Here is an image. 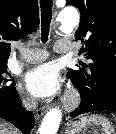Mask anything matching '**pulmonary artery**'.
I'll list each match as a JSON object with an SVG mask.
<instances>
[{
	"mask_svg": "<svg viewBox=\"0 0 116 134\" xmlns=\"http://www.w3.org/2000/svg\"><path fill=\"white\" fill-rule=\"evenodd\" d=\"M56 53H69L75 50L74 44L68 40H59L54 46ZM49 56V53L44 49H34L29 52H23V60L27 63H38L45 61Z\"/></svg>",
	"mask_w": 116,
	"mask_h": 134,
	"instance_id": "obj_1",
	"label": "pulmonary artery"
}]
</instances>
